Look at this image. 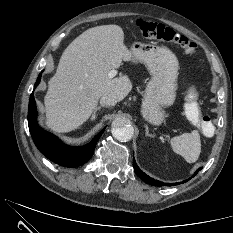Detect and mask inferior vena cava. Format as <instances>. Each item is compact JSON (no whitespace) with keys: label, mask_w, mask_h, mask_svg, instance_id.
I'll return each instance as SVG.
<instances>
[{"label":"inferior vena cava","mask_w":233,"mask_h":233,"mask_svg":"<svg viewBox=\"0 0 233 233\" xmlns=\"http://www.w3.org/2000/svg\"><path fill=\"white\" fill-rule=\"evenodd\" d=\"M117 103V97L111 93L104 94L100 99L102 106H114Z\"/></svg>","instance_id":"inferior-vena-cava-1"}]
</instances>
